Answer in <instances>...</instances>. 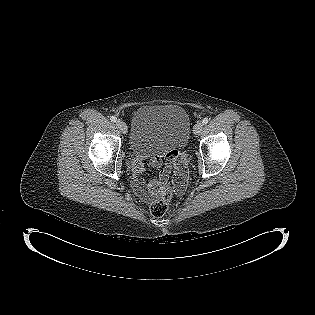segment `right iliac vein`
<instances>
[{"label": "right iliac vein", "mask_w": 315, "mask_h": 315, "mask_svg": "<svg viewBox=\"0 0 315 315\" xmlns=\"http://www.w3.org/2000/svg\"><path fill=\"white\" fill-rule=\"evenodd\" d=\"M116 126L117 128L122 132V133H126L127 132V125L125 124V122L118 120L116 122Z\"/></svg>", "instance_id": "63e3f726"}]
</instances>
